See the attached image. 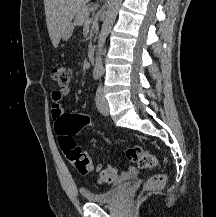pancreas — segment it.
<instances>
[{"instance_id": "obj_1", "label": "pancreas", "mask_w": 216, "mask_h": 217, "mask_svg": "<svg viewBox=\"0 0 216 217\" xmlns=\"http://www.w3.org/2000/svg\"><path fill=\"white\" fill-rule=\"evenodd\" d=\"M87 21L90 22L89 20V9L86 6H83L77 13L75 17V24L77 25H88Z\"/></svg>"}]
</instances>
